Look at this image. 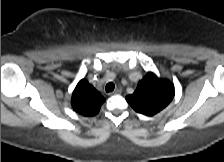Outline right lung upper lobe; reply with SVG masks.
Here are the masks:
<instances>
[{
	"label": "right lung upper lobe",
	"mask_w": 224,
	"mask_h": 162,
	"mask_svg": "<svg viewBox=\"0 0 224 162\" xmlns=\"http://www.w3.org/2000/svg\"><path fill=\"white\" fill-rule=\"evenodd\" d=\"M104 101V97L87 80L82 79L73 91L71 104L77 113L94 116Z\"/></svg>",
	"instance_id": "1"
}]
</instances>
